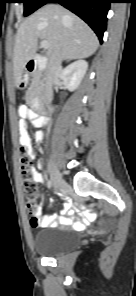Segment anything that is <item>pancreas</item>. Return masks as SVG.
I'll use <instances>...</instances> for the list:
<instances>
[{
	"mask_svg": "<svg viewBox=\"0 0 136 296\" xmlns=\"http://www.w3.org/2000/svg\"><path fill=\"white\" fill-rule=\"evenodd\" d=\"M42 84L43 80L39 77V75H35L33 77L32 83L27 91V98H34L38 97L40 93L42 92Z\"/></svg>",
	"mask_w": 136,
	"mask_h": 296,
	"instance_id": "cf45deb5",
	"label": "pancreas"
}]
</instances>
